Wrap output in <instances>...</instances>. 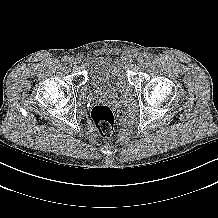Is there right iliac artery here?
Returning <instances> with one entry per match:
<instances>
[{
    "mask_svg": "<svg viewBox=\"0 0 218 218\" xmlns=\"http://www.w3.org/2000/svg\"><path fill=\"white\" fill-rule=\"evenodd\" d=\"M68 60H69V58H68L67 56H64V57L62 58V62H63V63H67Z\"/></svg>",
    "mask_w": 218,
    "mask_h": 218,
    "instance_id": "obj_1",
    "label": "right iliac artery"
}]
</instances>
